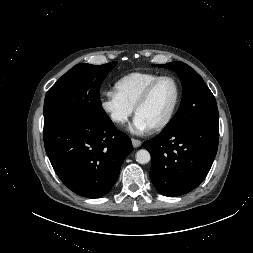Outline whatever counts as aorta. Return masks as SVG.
<instances>
[{
	"label": "aorta",
	"mask_w": 253,
	"mask_h": 253,
	"mask_svg": "<svg viewBox=\"0 0 253 253\" xmlns=\"http://www.w3.org/2000/svg\"><path fill=\"white\" fill-rule=\"evenodd\" d=\"M151 160L150 153L146 149H141L136 153V161L140 164H147Z\"/></svg>",
	"instance_id": "obj_1"
}]
</instances>
